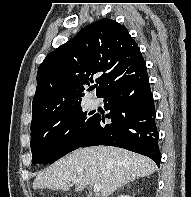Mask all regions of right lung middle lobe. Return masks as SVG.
I'll return each instance as SVG.
<instances>
[{"instance_id": "1", "label": "right lung middle lobe", "mask_w": 191, "mask_h": 197, "mask_svg": "<svg viewBox=\"0 0 191 197\" xmlns=\"http://www.w3.org/2000/svg\"><path fill=\"white\" fill-rule=\"evenodd\" d=\"M90 115L77 105L31 128L32 163H53L79 148L95 122Z\"/></svg>"}]
</instances>
